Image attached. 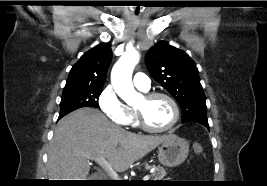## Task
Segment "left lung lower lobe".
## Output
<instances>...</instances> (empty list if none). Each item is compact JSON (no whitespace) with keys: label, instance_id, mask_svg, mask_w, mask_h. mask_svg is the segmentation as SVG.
Instances as JSON below:
<instances>
[{"label":"left lung lower lobe","instance_id":"0a47b994","mask_svg":"<svg viewBox=\"0 0 267 186\" xmlns=\"http://www.w3.org/2000/svg\"><path fill=\"white\" fill-rule=\"evenodd\" d=\"M186 123V122H185ZM206 128L209 129V125L208 124H203Z\"/></svg>","mask_w":267,"mask_h":186}]
</instances>
